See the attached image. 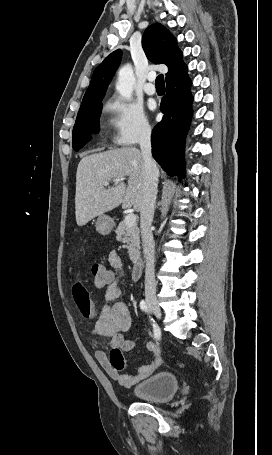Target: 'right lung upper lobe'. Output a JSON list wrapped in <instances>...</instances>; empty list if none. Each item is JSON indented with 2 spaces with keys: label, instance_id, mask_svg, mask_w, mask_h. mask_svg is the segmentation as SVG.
Wrapping results in <instances>:
<instances>
[{
  "label": "right lung upper lobe",
  "instance_id": "obj_1",
  "mask_svg": "<svg viewBox=\"0 0 272 455\" xmlns=\"http://www.w3.org/2000/svg\"><path fill=\"white\" fill-rule=\"evenodd\" d=\"M142 45L150 61L168 66L166 82L187 72V66L182 60V52L177 46L176 38L163 25L159 23L150 25L143 34ZM121 57V50L118 49L109 54L95 69L80 110L101 104L107 87L120 64Z\"/></svg>",
  "mask_w": 272,
  "mask_h": 455
}]
</instances>
